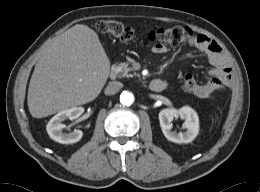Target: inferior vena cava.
<instances>
[{
	"instance_id": "obj_1",
	"label": "inferior vena cava",
	"mask_w": 260,
	"mask_h": 192,
	"mask_svg": "<svg viewBox=\"0 0 260 192\" xmlns=\"http://www.w3.org/2000/svg\"><path fill=\"white\" fill-rule=\"evenodd\" d=\"M123 87V84L118 81L110 82L109 85L105 89L106 95H112L118 92Z\"/></svg>"
}]
</instances>
